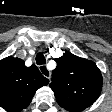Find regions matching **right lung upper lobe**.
Wrapping results in <instances>:
<instances>
[{
    "instance_id": "right-lung-upper-lobe-1",
    "label": "right lung upper lobe",
    "mask_w": 112,
    "mask_h": 112,
    "mask_svg": "<svg viewBox=\"0 0 112 112\" xmlns=\"http://www.w3.org/2000/svg\"><path fill=\"white\" fill-rule=\"evenodd\" d=\"M35 65L26 67L20 58L7 57L0 61V107L8 112H21L32 101L37 89L47 85Z\"/></svg>"
}]
</instances>
